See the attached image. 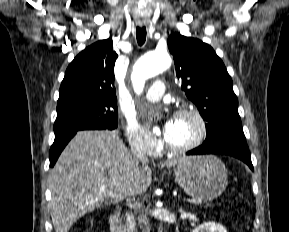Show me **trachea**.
Returning a JSON list of instances; mask_svg holds the SVG:
<instances>
[{
	"label": "trachea",
	"mask_w": 289,
	"mask_h": 232,
	"mask_svg": "<svg viewBox=\"0 0 289 232\" xmlns=\"http://www.w3.org/2000/svg\"><path fill=\"white\" fill-rule=\"evenodd\" d=\"M136 37H137L138 44L140 46H142L146 40V28L145 27H137L136 28Z\"/></svg>",
	"instance_id": "trachea-1"
}]
</instances>
